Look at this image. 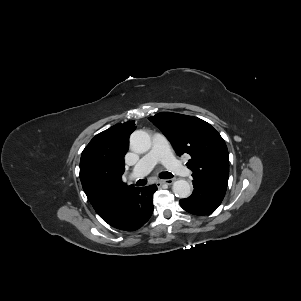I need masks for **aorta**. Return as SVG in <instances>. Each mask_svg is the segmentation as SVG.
Returning <instances> with one entry per match:
<instances>
[{
    "label": "aorta",
    "mask_w": 301,
    "mask_h": 301,
    "mask_svg": "<svg viewBox=\"0 0 301 301\" xmlns=\"http://www.w3.org/2000/svg\"><path fill=\"white\" fill-rule=\"evenodd\" d=\"M130 147L136 153H145L151 148V137L143 130H136L130 136ZM172 190L179 198H188L191 195V186L184 180H176Z\"/></svg>",
    "instance_id": "762f6f07"
}]
</instances>
